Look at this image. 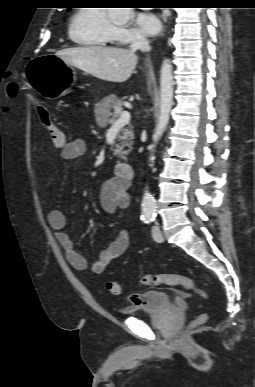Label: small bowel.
<instances>
[{"mask_svg":"<svg viewBox=\"0 0 255 387\" xmlns=\"http://www.w3.org/2000/svg\"><path fill=\"white\" fill-rule=\"evenodd\" d=\"M86 152V142L81 138L68 141L67 146L59 151V157L65 161H71L80 158ZM130 199L128 194V183L120 178L114 177L107 180L101 187L100 204L107 213H114L118 208H127ZM50 227L55 232V237L61 245L66 259L72 267L77 270H86L88 262L74 246L69 234L65 231L66 217L59 209H53L47 216ZM130 246L129 233L125 229H120L115 239L106 249L101 251L98 259L91 264V271L94 274H101L113 260L121 257L126 253ZM138 296L130 298L131 305L140 303Z\"/></svg>","mask_w":255,"mask_h":387,"instance_id":"obj_1","label":"small bowel"}]
</instances>
